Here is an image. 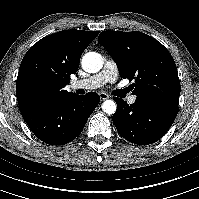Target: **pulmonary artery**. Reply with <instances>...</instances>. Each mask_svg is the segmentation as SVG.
<instances>
[{"mask_svg": "<svg viewBox=\"0 0 199 199\" xmlns=\"http://www.w3.org/2000/svg\"><path fill=\"white\" fill-rule=\"evenodd\" d=\"M118 69L116 64L107 59L105 60L104 66L100 72L89 76L82 80H76L71 83L72 89H85L92 90L104 86L106 83H112L117 80ZM128 102L134 104L136 102V96L131 95L128 97Z\"/></svg>", "mask_w": 199, "mask_h": 199, "instance_id": "pulmonary-artery-1", "label": "pulmonary artery"}]
</instances>
